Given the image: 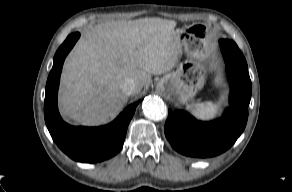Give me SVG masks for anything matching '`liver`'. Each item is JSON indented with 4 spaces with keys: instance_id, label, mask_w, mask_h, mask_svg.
Wrapping results in <instances>:
<instances>
[{
    "instance_id": "1",
    "label": "liver",
    "mask_w": 292,
    "mask_h": 192,
    "mask_svg": "<svg viewBox=\"0 0 292 192\" xmlns=\"http://www.w3.org/2000/svg\"><path fill=\"white\" fill-rule=\"evenodd\" d=\"M176 22L162 18L108 21L95 26L66 60L60 91L64 116L81 125H98L127 103L121 84L135 82L133 95L151 75L170 71L182 55Z\"/></svg>"
}]
</instances>
